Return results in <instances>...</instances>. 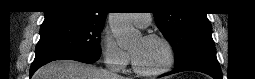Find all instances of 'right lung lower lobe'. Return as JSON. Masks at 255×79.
Listing matches in <instances>:
<instances>
[{
    "label": "right lung lower lobe",
    "instance_id": "1",
    "mask_svg": "<svg viewBox=\"0 0 255 79\" xmlns=\"http://www.w3.org/2000/svg\"><path fill=\"white\" fill-rule=\"evenodd\" d=\"M61 59L76 60L83 63L91 64L97 61L99 57H91L86 55H79V54L65 53V52L47 53L40 56H35V59L30 68V77L34 74V72L38 68H40L44 64L54 60H61Z\"/></svg>",
    "mask_w": 255,
    "mask_h": 79
}]
</instances>
